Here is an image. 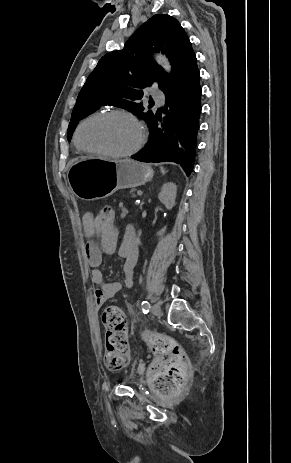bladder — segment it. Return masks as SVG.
Masks as SVG:
<instances>
[{"instance_id":"31cf9c89","label":"bladder","mask_w":291,"mask_h":463,"mask_svg":"<svg viewBox=\"0 0 291 463\" xmlns=\"http://www.w3.org/2000/svg\"><path fill=\"white\" fill-rule=\"evenodd\" d=\"M127 383H128V384H131V385L137 384V382H136L135 380L130 379V378L127 379Z\"/></svg>"}]
</instances>
